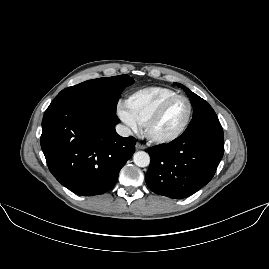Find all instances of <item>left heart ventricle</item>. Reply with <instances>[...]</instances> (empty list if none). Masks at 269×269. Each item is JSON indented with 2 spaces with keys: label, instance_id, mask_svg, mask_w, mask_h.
Segmentation results:
<instances>
[{
  "label": "left heart ventricle",
  "instance_id": "b2bd125f",
  "mask_svg": "<svg viewBox=\"0 0 269 269\" xmlns=\"http://www.w3.org/2000/svg\"><path fill=\"white\" fill-rule=\"evenodd\" d=\"M188 111L185 100L173 102L163 115L152 125L151 134L156 138H165L175 134L184 124Z\"/></svg>",
  "mask_w": 269,
  "mask_h": 269
}]
</instances>
